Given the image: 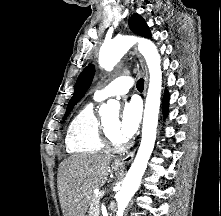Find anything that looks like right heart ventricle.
Segmentation results:
<instances>
[{
  "instance_id": "e07e8e85",
  "label": "right heart ventricle",
  "mask_w": 221,
  "mask_h": 216,
  "mask_svg": "<svg viewBox=\"0 0 221 216\" xmlns=\"http://www.w3.org/2000/svg\"><path fill=\"white\" fill-rule=\"evenodd\" d=\"M101 121L94 111V104L85 105L71 121L66 135V148L70 153L90 154L104 149Z\"/></svg>"
}]
</instances>
